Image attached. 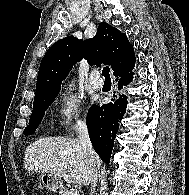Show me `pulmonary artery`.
I'll list each match as a JSON object with an SVG mask.
<instances>
[{"label":"pulmonary artery","mask_w":189,"mask_h":195,"mask_svg":"<svg viewBox=\"0 0 189 195\" xmlns=\"http://www.w3.org/2000/svg\"><path fill=\"white\" fill-rule=\"evenodd\" d=\"M100 76V73L97 71H94L90 74V85L96 90L101 89L103 86V80Z\"/></svg>","instance_id":"e3ab8cb5"}]
</instances>
